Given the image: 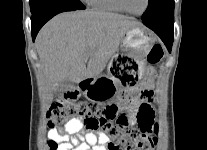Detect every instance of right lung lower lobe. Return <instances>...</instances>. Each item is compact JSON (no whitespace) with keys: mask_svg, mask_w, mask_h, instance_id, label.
<instances>
[{"mask_svg":"<svg viewBox=\"0 0 207 150\" xmlns=\"http://www.w3.org/2000/svg\"><path fill=\"white\" fill-rule=\"evenodd\" d=\"M77 10L75 8H72L67 5H52L49 7L44 8L43 10L32 14L31 17V29H32V38L33 41L35 40V37L40 30V28L48 21L50 20L53 16L65 12V11H73Z\"/></svg>","mask_w":207,"mask_h":150,"instance_id":"1","label":"right lung lower lobe"}]
</instances>
